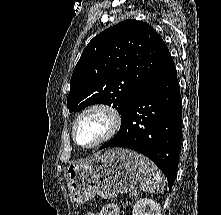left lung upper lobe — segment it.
<instances>
[{
	"instance_id": "5c2ea615",
	"label": "left lung upper lobe",
	"mask_w": 221,
	"mask_h": 215,
	"mask_svg": "<svg viewBox=\"0 0 221 215\" xmlns=\"http://www.w3.org/2000/svg\"><path fill=\"white\" fill-rule=\"evenodd\" d=\"M169 57L164 41L143 21L125 20L104 30L89 42L74 68L69 111L106 104L122 117Z\"/></svg>"
}]
</instances>
